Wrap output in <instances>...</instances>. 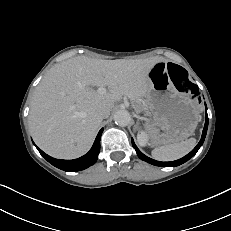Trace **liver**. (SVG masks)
<instances>
[{"mask_svg": "<svg viewBox=\"0 0 231 231\" xmlns=\"http://www.w3.org/2000/svg\"><path fill=\"white\" fill-rule=\"evenodd\" d=\"M161 57L100 60L78 56L52 67L37 86L29 126L37 146L59 159H74L91 147L102 121L97 111L112 110L123 96L146 97L149 70ZM87 86L108 87L99 94Z\"/></svg>", "mask_w": 231, "mask_h": 231, "instance_id": "liver-1", "label": "liver"}]
</instances>
